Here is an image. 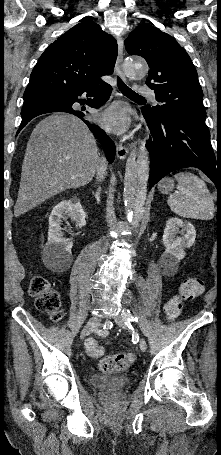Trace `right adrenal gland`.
Returning a JSON list of instances; mask_svg holds the SVG:
<instances>
[{"label":"right adrenal gland","mask_w":221,"mask_h":455,"mask_svg":"<svg viewBox=\"0 0 221 455\" xmlns=\"http://www.w3.org/2000/svg\"><path fill=\"white\" fill-rule=\"evenodd\" d=\"M101 187L98 186L96 192L92 191L93 196L95 197L97 204H100V194H101Z\"/></svg>","instance_id":"2a0ac1e0"}]
</instances>
